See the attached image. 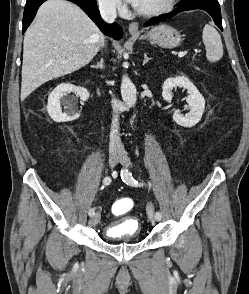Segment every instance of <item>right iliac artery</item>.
Segmentation results:
<instances>
[{"instance_id":"82829eb1","label":"right iliac artery","mask_w":249,"mask_h":294,"mask_svg":"<svg viewBox=\"0 0 249 294\" xmlns=\"http://www.w3.org/2000/svg\"><path fill=\"white\" fill-rule=\"evenodd\" d=\"M113 174H115V172H113ZM103 183L105 185H109L111 183V178L109 176L105 177L103 179ZM88 214H89V216H93L95 214V209L94 208H90Z\"/></svg>"}]
</instances>
